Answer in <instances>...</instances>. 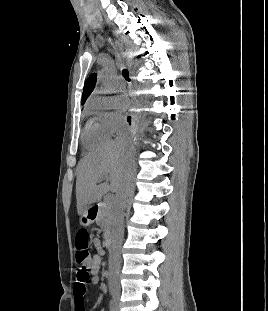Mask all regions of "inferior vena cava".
Masks as SVG:
<instances>
[{"label": "inferior vena cava", "mask_w": 268, "mask_h": 311, "mask_svg": "<svg viewBox=\"0 0 268 311\" xmlns=\"http://www.w3.org/2000/svg\"><path fill=\"white\" fill-rule=\"evenodd\" d=\"M119 142L124 146L123 151L128 152L129 161L127 166V175L125 182L121 190L116 194L117 207L114 213L113 218V228H112V250L109 255V265L113 269L116 267V275L111 273L110 275V284L114 285L116 288H119V279H118V270L120 267L121 256L119 249L123 242V233H124V210L126 207L127 198L131 192V170L132 163L130 159V154L132 152V147L129 146V142L123 138H119Z\"/></svg>", "instance_id": "602c4592"}]
</instances>
